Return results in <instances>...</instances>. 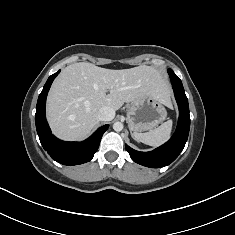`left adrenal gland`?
I'll return each mask as SVG.
<instances>
[{
    "label": "left adrenal gland",
    "instance_id": "1",
    "mask_svg": "<svg viewBox=\"0 0 235 235\" xmlns=\"http://www.w3.org/2000/svg\"><path fill=\"white\" fill-rule=\"evenodd\" d=\"M131 136H132V138L134 139L132 132H131Z\"/></svg>",
    "mask_w": 235,
    "mask_h": 235
}]
</instances>
